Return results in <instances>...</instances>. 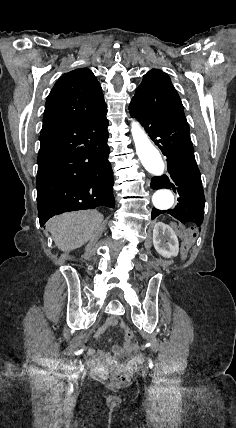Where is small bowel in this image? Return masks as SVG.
<instances>
[{
  "label": "small bowel",
  "instance_id": "small-bowel-1",
  "mask_svg": "<svg viewBox=\"0 0 236 428\" xmlns=\"http://www.w3.org/2000/svg\"><path fill=\"white\" fill-rule=\"evenodd\" d=\"M117 324L118 320L116 318H108L103 326L99 328L95 336L99 337L107 329ZM121 326L124 327L123 324H121ZM89 354L92 357L90 361L91 365L99 371H105L114 366L130 367L141 363L143 360V355L134 344H125L123 346L116 345L110 353L90 350Z\"/></svg>",
  "mask_w": 236,
  "mask_h": 428
}]
</instances>
